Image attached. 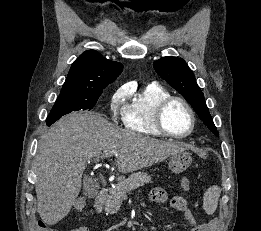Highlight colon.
Returning <instances> with one entry per match:
<instances>
[{"mask_svg":"<svg viewBox=\"0 0 261 231\" xmlns=\"http://www.w3.org/2000/svg\"><path fill=\"white\" fill-rule=\"evenodd\" d=\"M190 187V183L185 184L183 189L187 190ZM86 206V200L85 199H78L73 203V209L74 210H81L85 208ZM39 229L40 231H57L54 227L47 225L44 222H39Z\"/></svg>","mask_w":261,"mask_h":231,"instance_id":"obj_1","label":"colon"}]
</instances>
